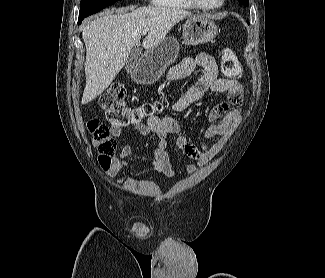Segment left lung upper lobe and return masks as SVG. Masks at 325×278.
Returning a JSON list of instances; mask_svg holds the SVG:
<instances>
[{"instance_id":"obj_1","label":"left lung upper lobe","mask_w":325,"mask_h":278,"mask_svg":"<svg viewBox=\"0 0 325 278\" xmlns=\"http://www.w3.org/2000/svg\"><path fill=\"white\" fill-rule=\"evenodd\" d=\"M238 1L243 5H248L249 4L248 0H238Z\"/></svg>"}]
</instances>
